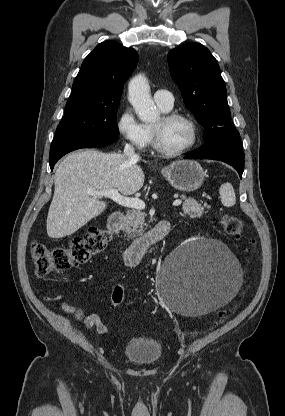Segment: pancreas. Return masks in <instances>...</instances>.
<instances>
[{"label": "pancreas", "instance_id": "cf45deb5", "mask_svg": "<svg viewBox=\"0 0 285 416\" xmlns=\"http://www.w3.org/2000/svg\"><path fill=\"white\" fill-rule=\"evenodd\" d=\"M180 198L181 200H185L182 206L183 214H187L190 218H201L205 214L204 206L198 204L193 198H188V200L186 196H180ZM205 208H208V206H205ZM145 216H147L145 212H140V210H135V208L127 210L126 216H124L122 230H125L130 238H137V236H140L144 232Z\"/></svg>", "mask_w": 285, "mask_h": 416}]
</instances>
